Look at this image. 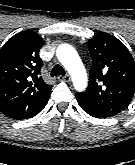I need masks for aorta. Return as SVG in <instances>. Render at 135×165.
<instances>
[{
	"instance_id": "aorta-1",
	"label": "aorta",
	"mask_w": 135,
	"mask_h": 165,
	"mask_svg": "<svg viewBox=\"0 0 135 165\" xmlns=\"http://www.w3.org/2000/svg\"><path fill=\"white\" fill-rule=\"evenodd\" d=\"M56 55L71 75L75 89L84 90L87 86V74L77 51L69 44H62Z\"/></svg>"
}]
</instances>
